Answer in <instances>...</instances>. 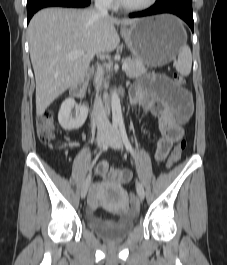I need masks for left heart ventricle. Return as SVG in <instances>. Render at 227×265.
I'll return each mask as SVG.
<instances>
[{
	"label": "left heart ventricle",
	"mask_w": 227,
	"mask_h": 265,
	"mask_svg": "<svg viewBox=\"0 0 227 265\" xmlns=\"http://www.w3.org/2000/svg\"><path fill=\"white\" fill-rule=\"evenodd\" d=\"M124 3H126L127 5H141L145 2H147L148 0H122Z\"/></svg>",
	"instance_id": "obj_1"
}]
</instances>
